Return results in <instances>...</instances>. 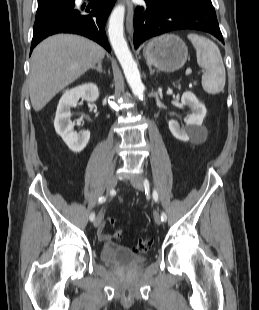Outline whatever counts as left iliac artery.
<instances>
[{
  "instance_id": "left-iliac-artery-1",
  "label": "left iliac artery",
  "mask_w": 259,
  "mask_h": 310,
  "mask_svg": "<svg viewBox=\"0 0 259 310\" xmlns=\"http://www.w3.org/2000/svg\"><path fill=\"white\" fill-rule=\"evenodd\" d=\"M144 186L145 187H149L148 180L144 181ZM153 199L155 200V202H158V200H159L158 193H157V191L155 189L153 190ZM161 220L162 221H166L167 220V215L164 212L161 213Z\"/></svg>"
}]
</instances>
